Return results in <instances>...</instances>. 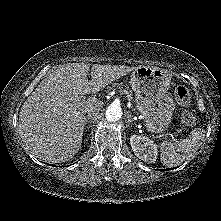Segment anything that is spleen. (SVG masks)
<instances>
[{"label": "spleen", "mask_w": 221, "mask_h": 221, "mask_svg": "<svg viewBox=\"0 0 221 221\" xmlns=\"http://www.w3.org/2000/svg\"><path fill=\"white\" fill-rule=\"evenodd\" d=\"M204 133L203 129L197 128L186 139L176 142H162L160 145L162 164L172 167L190 159L201 146L205 137Z\"/></svg>", "instance_id": "spleen-1"}]
</instances>
